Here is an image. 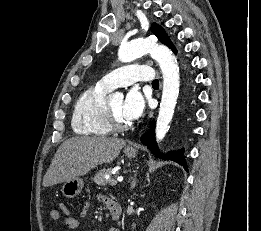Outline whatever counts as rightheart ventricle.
I'll use <instances>...</instances> for the list:
<instances>
[{
  "label": "right heart ventricle",
  "mask_w": 261,
  "mask_h": 231,
  "mask_svg": "<svg viewBox=\"0 0 261 231\" xmlns=\"http://www.w3.org/2000/svg\"><path fill=\"white\" fill-rule=\"evenodd\" d=\"M111 89L100 83L86 90L76 101L71 126L82 136H107L112 129L106 122V96Z\"/></svg>",
  "instance_id": "obj_1"
}]
</instances>
